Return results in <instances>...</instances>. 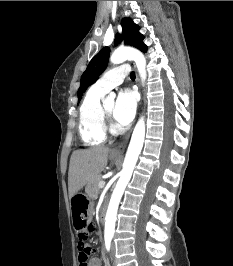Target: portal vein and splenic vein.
<instances>
[{"instance_id":"portal-vein-and-splenic-vein-1","label":"portal vein and splenic vein","mask_w":233,"mask_h":266,"mask_svg":"<svg viewBox=\"0 0 233 266\" xmlns=\"http://www.w3.org/2000/svg\"><path fill=\"white\" fill-rule=\"evenodd\" d=\"M98 186L99 188H103L105 186V181H100Z\"/></svg>"}]
</instances>
